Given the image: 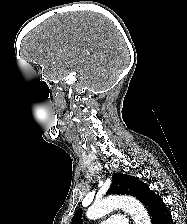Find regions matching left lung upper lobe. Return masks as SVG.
I'll use <instances>...</instances> for the list:
<instances>
[{
    "instance_id": "5c2ea615",
    "label": "left lung upper lobe",
    "mask_w": 187,
    "mask_h": 224,
    "mask_svg": "<svg viewBox=\"0 0 187 224\" xmlns=\"http://www.w3.org/2000/svg\"><path fill=\"white\" fill-rule=\"evenodd\" d=\"M112 193L131 195L144 204L153 192L136 177L114 173L112 185L107 191V194ZM81 214V209H78L74 214L71 224H81Z\"/></svg>"
}]
</instances>
